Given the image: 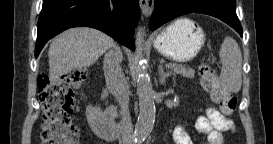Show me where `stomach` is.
<instances>
[{"label": "stomach", "mask_w": 273, "mask_h": 144, "mask_svg": "<svg viewBox=\"0 0 273 144\" xmlns=\"http://www.w3.org/2000/svg\"><path fill=\"white\" fill-rule=\"evenodd\" d=\"M204 43L203 29L187 18L177 19L168 25L153 41L158 53L175 62L192 60Z\"/></svg>", "instance_id": "obj_1"}]
</instances>
